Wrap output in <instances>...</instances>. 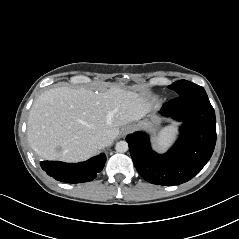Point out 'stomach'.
<instances>
[{
    "label": "stomach",
    "mask_w": 239,
    "mask_h": 239,
    "mask_svg": "<svg viewBox=\"0 0 239 239\" xmlns=\"http://www.w3.org/2000/svg\"><path fill=\"white\" fill-rule=\"evenodd\" d=\"M152 122H153L154 124H158V123H159V120H158V119H153ZM144 125H145V124H144Z\"/></svg>",
    "instance_id": "obj_1"
}]
</instances>
